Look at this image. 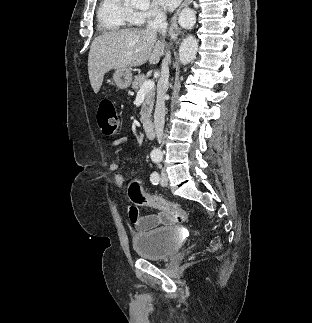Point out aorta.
<instances>
[{"mask_svg": "<svg viewBox=\"0 0 312 323\" xmlns=\"http://www.w3.org/2000/svg\"><path fill=\"white\" fill-rule=\"evenodd\" d=\"M197 52L198 42L196 38H194V36H186L179 48L180 64H183V66L190 64L192 60H195Z\"/></svg>", "mask_w": 312, "mask_h": 323, "instance_id": "obj_1", "label": "aorta"}]
</instances>
